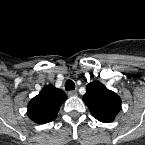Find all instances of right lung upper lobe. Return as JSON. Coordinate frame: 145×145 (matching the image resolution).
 Returning <instances> with one entry per match:
<instances>
[{
	"mask_svg": "<svg viewBox=\"0 0 145 145\" xmlns=\"http://www.w3.org/2000/svg\"><path fill=\"white\" fill-rule=\"evenodd\" d=\"M66 99L67 96L62 90L46 85L28 103L27 114L37 124L51 122L56 118L61 104Z\"/></svg>",
	"mask_w": 145,
	"mask_h": 145,
	"instance_id": "1",
	"label": "right lung upper lobe"
}]
</instances>
